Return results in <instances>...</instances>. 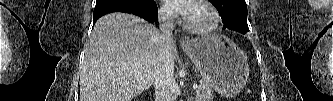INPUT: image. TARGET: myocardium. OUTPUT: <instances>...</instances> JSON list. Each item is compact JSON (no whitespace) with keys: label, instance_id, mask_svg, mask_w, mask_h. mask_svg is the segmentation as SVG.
I'll list each match as a JSON object with an SVG mask.
<instances>
[{"label":"myocardium","instance_id":"obj_1","mask_svg":"<svg viewBox=\"0 0 333 101\" xmlns=\"http://www.w3.org/2000/svg\"><path fill=\"white\" fill-rule=\"evenodd\" d=\"M195 4L202 5L208 9V11L210 12V14L212 16V22L207 27H196V26H193L192 24H190L187 21V19L184 18V21H183L184 28L191 33L199 34V35H205V34L214 32L219 27L220 21H221L220 14H219L218 10L216 9V7L209 1H205V0L195 1Z\"/></svg>","mask_w":333,"mask_h":101}]
</instances>
